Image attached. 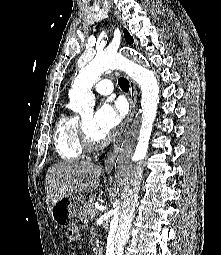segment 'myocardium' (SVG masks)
I'll return each instance as SVG.
<instances>
[{
  "instance_id": "myocardium-1",
  "label": "myocardium",
  "mask_w": 221,
  "mask_h": 255,
  "mask_svg": "<svg viewBox=\"0 0 221 255\" xmlns=\"http://www.w3.org/2000/svg\"><path fill=\"white\" fill-rule=\"evenodd\" d=\"M80 135L82 143L85 149L88 151H97L103 149L109 142V138L107 136L99 141L94 140L85 128L84 123H80Z\"/></svg>"
}]
</instances>
